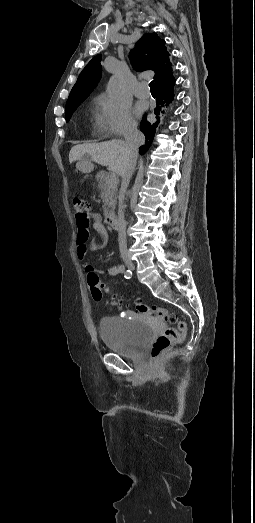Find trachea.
<instances>
[{
  "mask_svg": "<svg viewBox=\"0 0 255 523\" xmlns=\"http://www.w3.org/2000/svg\"><path fill=\"white\" fill-rule=\"evenodd\" d=\"M149 86H150V90L151 91H155V85H154V81L153 80H152V82H150Z\"/></svg>",
  "mask_w": 255,
  "mask_h": 523,
  "instance_id": "1",
  "label": "trachea"
}]
</instances>
